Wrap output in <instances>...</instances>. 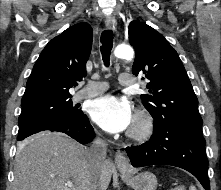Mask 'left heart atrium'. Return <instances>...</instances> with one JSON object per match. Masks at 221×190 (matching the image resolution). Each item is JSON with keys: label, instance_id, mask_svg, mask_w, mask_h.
<instances>
[{"label": "left heart atrium", "instance_id": "obj_1", "mask_svg": "<svg viewBox=\"0 0 221 190\" xmlns=\"http://www.w3.org/2000/svg\"><path fill=\"white\" fill-rule=\"evenodd\" d=\"M93 121L110 133L126 130L133 121L129 103L112 95H105L94 100L90 105Z\"/></svg>", "mask_w": 221, "mask_h": 190}]
</instances>
